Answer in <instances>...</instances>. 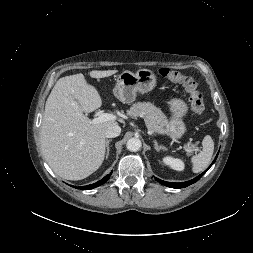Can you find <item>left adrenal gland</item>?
<instances>
[{"mask_svg":"<svg viewBox=\"0 0 253 253\" xmlns=\"http://www.w3.org/2000/svg\"><path fill=\"white\" fill-rule=\"evenodd\" d=\"M154 142V149L159 152L160 150H166L167 148L163 145H158L156 140H153Z\"/></svg>","mask_w":253,"mask_h":253,"instance_id":"1","label":"left adrenal gland"}]
</instances>
